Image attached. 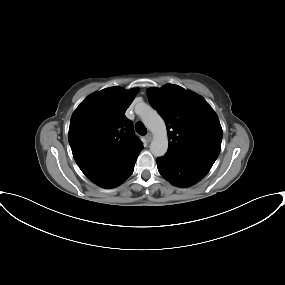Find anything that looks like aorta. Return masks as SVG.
<instances>
[{
    "label": "aorta",
    "mask_w": 285,
    "mask_h": 285,
    "mask_svg": "<svg viewBox=\"0 0 285 285\" xmlns=\"http://www.w3.org/2000/svg\"><path fill=\"white\" fill-rule=\"evenodd\" d=\"M140 116L144 125L153 134V140L150 144L151 153L155 157L165 155L168 149V136L164 120L156 110L145 104L141 106Z\"/></svg>",
    "instance_id": "1"
}]
</instances>
